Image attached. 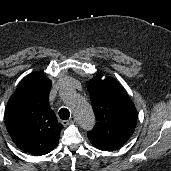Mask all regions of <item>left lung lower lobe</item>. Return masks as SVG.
<instances>
[{
    "label": "left lung lower lobe",
    "mask_w": 171,
    "mask_h": 171,
    "mask_svg": "<svg viewBox=\"0 0 171 171\" xmlns=\"http://www.w3.org/2000/svg\"><path fill=\"white\" fill-rule=\"evenodd\" d=\"M92 144H93L97 149H100V150H103V151H112V150H110V149H108V148L98 146V145H96V144H94V143H92Z\"/></svg>",
    "instance_id": "0a47b994"
}]
</instances>
